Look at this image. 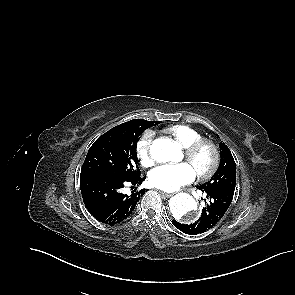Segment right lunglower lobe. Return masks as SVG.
I'll return each instance as SVG.
<instances>
[{"mask_svg":"<svg viewBox=\"0 0 295 295\" xmlns=\"http://www.w3.org/2000/svg\"><path fill=\"white\" fill-rule=\"evenodd\" d=\"M140 174L133 177L95 175L80 177V189L88 211L100 222L114 225L132 214L146 189L122 193L125 184L140 185L144 181Z\"/></svg>","mask_w":295,"mask_h":295,"instance_id":"obj_1","label":"right lung lower lobe"}]
</instances>
